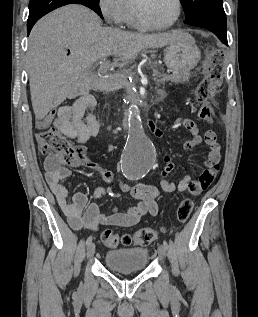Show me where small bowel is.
<instances>
[{
	"label": "small bowel",
	"instance_id": "small-bowel-1",
	"mask_svg": "<svg viewBox=\"0 0 258 317\" xmlns=\"http://www.w3.org/2000/svg\"><path fill=\"white\" fill-rule=\"evenodd\" d=\"M95 107V98L90 94H85L78 98L72 106H63L56 113L49 114L38 123V127L45 128L53 125L65 137L84 144L90 138L95 137L100 129L99 121L94 115ZM180 123L192 136L184 143L186 150L196 148L203 140L209 147L210 150L205 161L206 168L199 173L197 179L191 178L188 174H183L178 182L169 181L167 176L174 169V163L166 155L160 187L165 192L177 190L199 194L213 182L219 170L220 146L213 131L207 130L204 137H202L198 126L192 120L182 118ZM148 126L157 136H161L160 130L156 128L153 122H149ZM66 165L56 156H48L44 162L46 180L50 190L73 229L86 228L96 231L100 225L130 227L137 224L146 214L157 215L160 196L157 187L144 183L128 186L121 182L111 171L93 162L86 155L81 165L97 173L105 182L117 184L120 190L129 192L135 203L124 210L114 209L111 214H105L96 203V199L105 194L106 189L104 187L95 189L91 202L88 201L87 195L83 192H76L69 200L68 190L62 184V181L70 176V170Z\"/></svg>",
	"mask_w": 258,
	"mask_h": 317
}]
</instances>
